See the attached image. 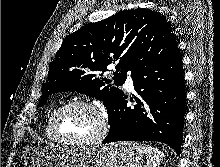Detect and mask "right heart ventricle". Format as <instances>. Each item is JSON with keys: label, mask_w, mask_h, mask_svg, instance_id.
I'll return each instance as SVG.
<instances>
[{"label": "right heart ventricle", "mask_w": 220, "mask_h": 167, "mask_svg": "<svg viewBox=\"0 0 220 167\" xmlns=\"http://www.w3.org/2000/svg\"><path fill=\"white\" fill-rule=\"evenodd\" d=\"M52 115L51 114L49 116V118L47 119L46 121V124H45V128H44V135L47 139H49L50 141H54L53 139V136H52V133H51V129H50V124H51V118H52Z\"/></svg>", "instance_id": "1"}]
</instances>
